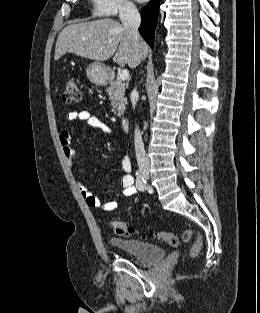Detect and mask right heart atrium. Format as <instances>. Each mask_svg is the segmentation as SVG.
Here are the masks:
<instances>
[{
  "instance_id": "obj_1",
  "label": "right heart atrium",
  "mask_w": 260,
  "mask_h": 313,
  "mask_svg": "<svg viewBox=\"0 0 260 313\" xmlns=\"http://www.w3.org/2000/svg\"><path fill=\"white\" fill-rule=\"evenodd\" d=\"M93 12L97 16L130 15L136 12L132 0H92Z\"/></svg>"
}]
</instances>
